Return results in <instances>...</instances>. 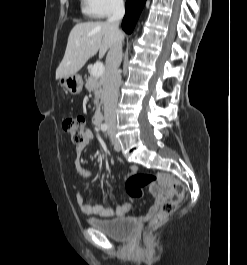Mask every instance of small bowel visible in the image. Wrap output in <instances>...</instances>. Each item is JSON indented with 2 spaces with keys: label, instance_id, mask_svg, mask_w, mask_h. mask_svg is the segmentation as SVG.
I'll return each instance as SVG.
<instances>
[{
  "label": "small bowel",
  "instance_id": "c3829d8e",
  "mask_svg": "<svg viewBox=\"0 0 247 265\" xmlns=\"http://www.w3.org/2000/svg\"><path fill=\"white\" fill-rule=\"evenodd\" d=\"M94 139L93 132L91 130H87L85 140L77 145L76 152H77V159L75 161V167L77 173L80 175L83 179H88L91 177L92 172L85 168L79 161V157L81 153L85 150L87 145L90 141ZM129 170L132 173L136 172V167L132 166L129 168ZM173 194L170 191H159V192H153L154 196V203L150 206L147 213L141 217L142 220H148L156 215L158 212L161 204L163 201H165L168 197H171ZM76 201L78 206L80 207L81 211L86 215H97L100 217H123L129 214V212L132 210V202L128 201L124 203L123 205L117 207V208H108L103 205H91L87 202L86 197L82 190H78L76 194Z\"/></svg>",
  "mask_w": 247,
  "mask_h": 265
}]
</instances>
